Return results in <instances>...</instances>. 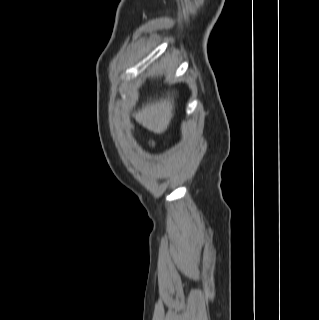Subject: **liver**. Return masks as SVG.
I'll use <instances>...</instances> for the list:
<instances>
[{
  "label": "liver",
  "instance_id": "liver-1",
  "mask_svg": "<svg viewBox=\"0 0 319 320\" xmlns=\"http://www.w3.org/2000/svg\"><path fill=\"white\" fill-rule=\"evenodd\" d=\"M174 115V97H167L147 102L142 108L135 112L134 117L147 128L157 134L164 133Z\"/></svg>",
  "mask_w": 319,
  "mask_h": 320
}]
</instances>
